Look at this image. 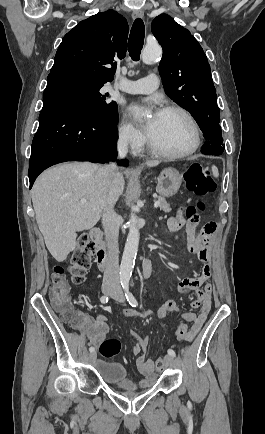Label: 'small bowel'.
<instances>
[{"label":"small bowel","mask_w":265,"mask_h":434,"mask_svg":"<svg viewBox=\"0 0 265 434\" xmlns=\"http://www.w3.org/2000/svg\"><path fill=\"white\" fill-rule=\"evenodd\" d=\"M197 221L191 220L186 222L183 217V210L180 209L175 216L168 219V229L171 232H176L185 227L188 239V251L191 254L197 256V258L203 263V266L199 273L195 277H185L179 281L178 289L182 292L196 291V299L191 302V307L198 309L195 312H181L180 307L173 299H168L158 311L151 310V315H156V318L163 320L167 315H177L182 320L191 323L188 327L189 339L191 341L200 331L205 323L210 310H211V290L212 287L208 283L211 276V267L209 264V252L208 246L212 235L207 238H202L195 232ZM76 323L72 325L82 332L88 338L89 342L93 345H98L107 335L108 325L107 316L99 314L95 318L83 311H77ZM125 315L129 318H146L149 315V310H130V306H125ZM149 339L136 340L134 347L135 352H139L136 364L139 371L144 375V379L141 384L147 387L149 384L157 381V376L154 371V363L152 360L146 357L148 352Z\"/></svg>","instance_id":"1"}]
</instances>
